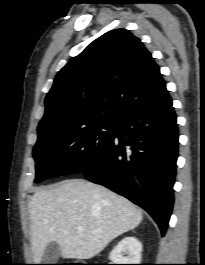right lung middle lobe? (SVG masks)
<instances>
[{"instance_id":"right-lung-middle-lobe-1","label":"right lung middle lobe","mask_w":205,"mask_h":265,"mask_svg":"<svg viewBox=\"0 0 205 265\" xmlns=\"http://www.w3.org/2000/svg\"><path fill=\"white\" fill-rule=\"evenodd\" d=\"M115 130V122L98 121L61 132L38 131L34 182L81 172L112 140Z\"/></svg>"}]
</instances>
